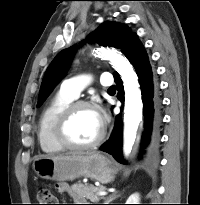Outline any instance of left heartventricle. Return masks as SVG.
<instances>
[{"mask_svg": "<svg viewBox=\"0 0 200 205\" xmlns=\"http://www.w3.org/2000/svg\"><path fill=\"white\" fill-rule=\"evenodd\" d=\"M102 122L95 110L81 108L72 116L67 126L68 138L78 144L93 141L100 133Z\"/></svg>", "mask_w": 200, "mask_h": 205, "instance_id": "left-heart-ventricle-1", "label": "left heart ventricle"}]
</instances>
